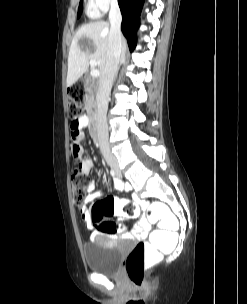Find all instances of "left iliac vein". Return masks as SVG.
Masks as SVG:
<instances>
[{"instance_id": "1", "label": "left iliac vein", "mask_w": 247, "mask_h": 304, "mask_svg": "<svg viewBox=\"0 0 247 304\" xmlns=\"http://www.w3.org/2000/svg\"><path fill=\"white\" fill-rule=\"evenodd\" d=\"M117 177L120 179L122 178V175H121V172L120 171H117Z\"/></svg>"}]
</instances>
